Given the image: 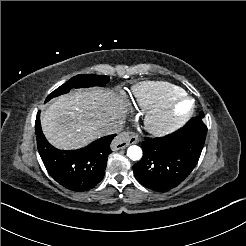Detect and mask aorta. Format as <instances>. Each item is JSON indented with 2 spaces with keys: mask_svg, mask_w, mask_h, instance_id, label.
<instances>
[{
  "mask_svg": "<svg viewBox=\"0 0 246 246\" xmlns=\"http://www.w3.org/2000/svg\"><path fill=\"white\" fill-rule=\"evenodd\" d=\"M142 155V149L139 146L132 145L127 149V156L133 161L140 160Z\"/></svg>",
  "mask_w": 246,
  "mask_h": 246,
  "instance_id": "aorta-1",
  "label": "aorta"
}]
</instances>
